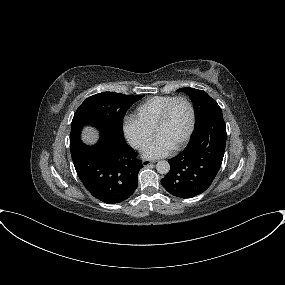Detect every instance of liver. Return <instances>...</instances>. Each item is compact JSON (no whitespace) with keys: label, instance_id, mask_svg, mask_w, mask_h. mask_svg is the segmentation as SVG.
<instances>
[{"label":"liver","instance_id":"1","mask_svg":"<svg viewBox=\"0 0 285 285\" xmlns=\"http://www.w3.org/2000/svg\"><path fill=\"white\" fill-rule=\"evenodd\" d=\"M83 140L88 144H94L98 138L97 131L91 127H86L83 131Z\"/></svg>","mask_w":285,"mask_h":285}]
</instances>
